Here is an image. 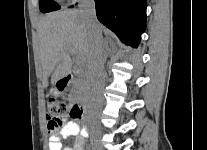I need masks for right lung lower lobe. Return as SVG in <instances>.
<instances>
[{
	"label": "right lung lower lobe",
	"instance_id": "1",
	"mask_svg": "<svg viewBox=\"0 0 207 150\" xmlns=\"http://www.w3.org/2000/svg\"><path fill=\"white\" fill-rule=\"evenodd\" d=\"M98 20L137 47L146 26V0H95Z\"/></svg>",
	"mask_w": 207,
	"mask_h": 150
}]
</instances>
